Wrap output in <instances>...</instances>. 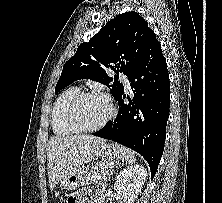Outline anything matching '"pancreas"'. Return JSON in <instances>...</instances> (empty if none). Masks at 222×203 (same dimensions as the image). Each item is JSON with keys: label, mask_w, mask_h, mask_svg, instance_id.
Here are the masks:
<instances>
[{"label": "pancreas", "mask_w": 222, "mask_h": 203, "mask_svg": "<svg viewBox=\"0 0 222 203\" xmlns=\"http://www.w3.org/2000/svg\"><path fill=\"white\" fill-rule=\"evenodd\" d=\"M110 164L111 163L107 160L96 163L95 166L88 171L85 178V184L98 183L100 181L107 180L110 172L112 171Z\"/></svg>", "instance_id": "cf45deb5"}]
</instances>
